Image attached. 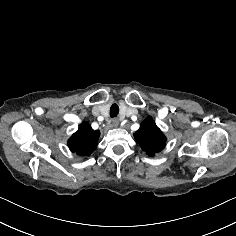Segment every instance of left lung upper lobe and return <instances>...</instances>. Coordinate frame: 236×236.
I'll return each mask as SVG.
<instances>
[{
  "label": "left lung upper lobe",
  "instance_id": "1",
  "mask_svg": "<svg viewBox=\"0 0 236 236\" xmlns=\"http://www.w3.org/2000/svg\"><path fill=\"white\" fill-rule=\"evenodd\" d=\"M134 138L149 156L160 152L166 144V137L151 117L146 118L134 134Z\"/></svg>",
  "mask_w": 236,
  "mask_h": 236
}]
</instances>
